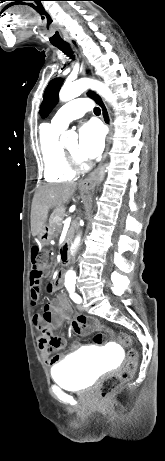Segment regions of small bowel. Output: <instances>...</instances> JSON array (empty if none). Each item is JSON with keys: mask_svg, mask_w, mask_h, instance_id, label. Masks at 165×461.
<instances>
[{"mask_svg": "<svg viewBox=\"0 0 165 461\" xmlns=\"http://www.w3.org/2000/svg\"><path fill=\"white\" fill-rule=\"evenodd\" d=\"M62 271L56 272L58 279L51 281L46 286L48 293H53L60 288L62 283ZM41 283H34L30 279V301L32 305H36L40 299ZM63 321H70L73 332L80 336H86L91 331L101 327L95 319H90L85 315H73L71 305L65 294H60L50 303L44 305L42 313H35L32 317V323L38 329L37 337L38 348L49 366H55L63 359V355L55 353L62 350L66 345V340L62 335H54V330L59 327ZM104 341L103 335L95 332L91 336V345L95 351L102 349ZM81 344L74 341L69 344V352H75L80 348Z\"/></svg>", "mask_w": 165, "mask_h": 461, "instance_id": "obj_1", "label": "small bowel"}]
</instances>
